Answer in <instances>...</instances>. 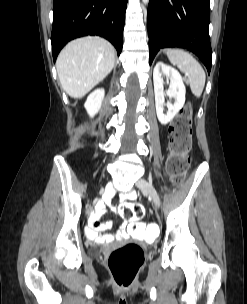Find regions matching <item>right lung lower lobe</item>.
I'll return each instance as SVG.
<instances>
[{
	"mask_svg": "<svg viewBox=\"0 0 247 304\" xmlns=\"http://www.w3.org/2000/svg\"><path fill=\"white\" fill-rule=\"evenodd\" d=\"M128 0H54L51 34L54 61L70 40L98 35L109 40L120 54Z\"/></svg>",
	"mask_w": 247,
	"mask_h": 304,
	"instance_id": "98d812e1",
	"label": "right lung lower lobe"
}]
</instances>
